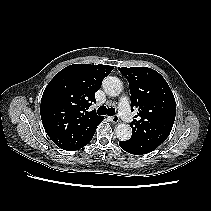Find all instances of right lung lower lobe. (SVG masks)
Returning <instances> with one entry per match:
<instances>
[{
  "instance_id": "1",
  "label": "right lung lower lobe",
  "mask_w": 211,
  "mask_h": 211,
  "mask_svg": "<svg viewBox=\"0 0 211 211\" xmlns=\"http://www.w3.org/2000/svg\"><path fill=\"white\" fill-rule=\"evenodd\" d=\"M95 130H96V128H95ZM95 130L89 135V137L87 138V140L84 142V144L80 148L84 147L85 145H87L91 141V139H92V137H93V135L95 133Z\"/></svg>"
}]
</instances>
